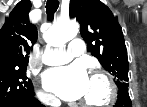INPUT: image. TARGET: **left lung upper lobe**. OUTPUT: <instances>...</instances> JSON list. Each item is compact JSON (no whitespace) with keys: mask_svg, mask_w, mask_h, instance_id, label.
Segmentation results:
<instances>
[{"mask_svg":"<svg viewBox=\"0 0 147 107\" xmlns=\"http://www.w3.org/2000/svg\"><path fill=\"white\" fill-rule=\"evenodd\" d=\"M70 17L80 23L87 49L116 78L118 88L128 86V58L118 19L100 0H71Z\"/></svg>","mask_w":147,"mask_h":107,"instance_id":"1","label":"left lung upper lobe"}]
</instances>
